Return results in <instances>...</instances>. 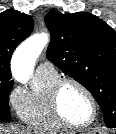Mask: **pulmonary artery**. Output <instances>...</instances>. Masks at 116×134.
<instances>
[{
	"label": "pulmonary artery",
	"instance_id": "1",
	"mask_svg": "<svg viewBox=\"0 0 116 134\" xmlns=\"http://www.w3.org/2000/svg\"><path fill=\"white\" fill-rule=\"evenodd\" d=\"M37 72H44V71H55V68L52 63L49 61L41 62L36 69Z\"/></svg>",
	"mask_w": 116,
	"mask_h": 134
}]
</instances>
